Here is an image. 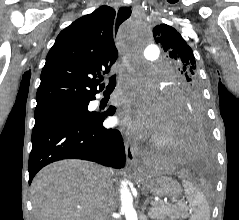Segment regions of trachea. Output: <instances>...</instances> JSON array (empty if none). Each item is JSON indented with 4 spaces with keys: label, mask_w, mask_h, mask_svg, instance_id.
Masks as SVG:
<instances>
[{
    "label": "trachea",
    "mask_w": 239,
    "mask_h": 220,
    "mask_svg": "<svg viewBox=\"0 0 239 220\" xmlns=\"http://www.w3.org/2000/svg\"><path fill=\"white\" fill-rule=\"evenodd\" d=\"M103 79H101L102 81ZM116 86V76H112L111 78H109V83L106 87V91L107 90H113Z\"/></svg>",
    "instance_id": "trachea-1"
}]
</instances>
